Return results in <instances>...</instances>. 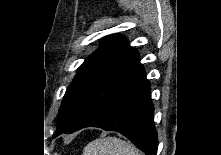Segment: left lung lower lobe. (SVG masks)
I'll return each mask as SVG.
<instances>
[{
    "label": "left lung lower lobe",
    "mask_w": 221,
    "mask_h": 155,
    "mask_svg": "<svg viewBox=\"0 0 221 155\" xmlns=\"http://www.w3.org/2000/svg\"><path fill=\"white\" fill-rule=\"evenodd\" d=\"M138 56L137 53L103 80L72 123L54 136L99 127L123 134L146 155H156L158 139L150 84Z\"/></svg>",
    "instance_id": "0a47b994"
}]
</instances>
